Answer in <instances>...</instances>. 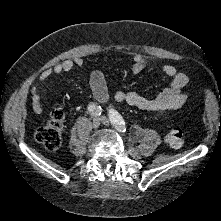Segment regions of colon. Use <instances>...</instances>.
Instances as JSON below:
<instances>
[{
  "label": "colon",
  "mask_w": 221,
  "mask_h": 221,
  "mask_svg": "<svg viewBox=\"0 0 221 221\" xmlns=\"http://www.w3.org/2000/svg\"><path fill=\"white\" fill-rule=\"evenodd\" d=\"M64 112L61 107L54 108L48 121L39 127L35 133L36 140L48 150H56L61 144ZM166 143L174 149H179L184 144V134L181 128L173 127L165 137Z\"/></svg>",
  "instance_id": "5ec220e1"
}]
</instances>
